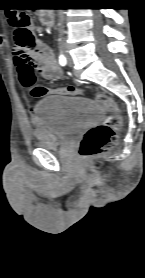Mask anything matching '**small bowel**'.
<instances>
[{
	"label": "small bowel",
	"instance_id": "c3829d8e",
	"mask_svg": "<svg viewBox=\"0 0 145 278\" xmlns=\"http://www.w3.org/2000/svg\"><path fill=\"white\" fill-rule=\"evenodd\" d=\"M3 1L11 0H1V2ZM11 51L14 63L18 68L21 84L24 78L33 76L32 67L34 65V55L37 56V66L42 78L52 81L58 79L62 74V70L53 51L40 41L34 42L28 48H22L14 41Z\"/></svg>",
	"mask_w": 145,
	"mask_h": 278
}]
</instances>
